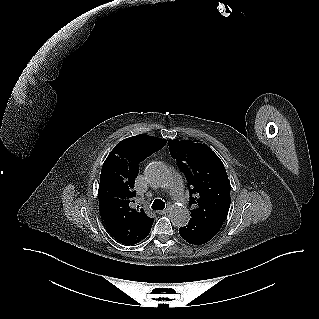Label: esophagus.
Here are the masks:
<instances>
[{
	"label": "esophagus",
	"instance_id": "esophagus-1",
	"mask_svg": "<svg viewBox=\"0 0 319 319\" xmlns=\"http://www.w3.org/2000/svg\"><path fill=\"white\" fill-rule=\"evenodd\" d=\"M158 213H159L160 215H165L166 213H168V209L160 210Z\"/></svg>",
	"mask_w": 319,
	"mask_h": 319
}]
</instances>
